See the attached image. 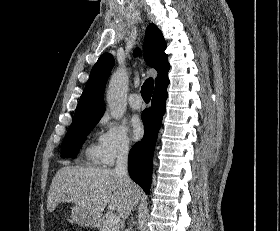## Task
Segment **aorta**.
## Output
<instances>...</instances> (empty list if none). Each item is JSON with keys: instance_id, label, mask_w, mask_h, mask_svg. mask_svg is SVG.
I'll return each instance as SVG.
<instances>
[{"instance_id": "aorta-1", "label": "aorta", "mask_w": 280, "mask_h": 231, "mask_svg": "<svg viewBox=\"0 0 280 231\" xmlns=\"http://www.w3.org/2000/svg\"><path fill=\"white\" fill-rule=\"evenodd\" d=\"M123 68H117L115 74L111 76L106 98L110 116L114 119L124 116L127 108V92Z\"/></svg>"}]
</instances>
